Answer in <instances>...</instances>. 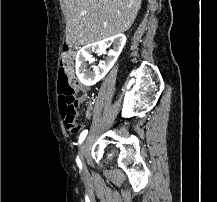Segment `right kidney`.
I'll use <instances>...</instances> for the list:
<instances>
[{
    "label": "right kidney",
    "instance_id": "1",
    "mask_svg": "<svg viewBox=\"0 0 217 202\" xmlns=\"http://www.w3.org/2000/svg\"><path fill=\"white\" fill-rule=\"evenodd\" d=\"M126 44V38L124 34H117V36H112V38H106V40H101V42H95V44H88V46H84L79 50L76 56V74L84 84V86H94L96 82L102 80L104 76H106L107 72L111 70L112 66H114L119 54H121L124 46ZM112 46V50L107 52V58L100 62L98 66L97 72H89L86 70L87 64L86 62H90L92 60V52H104L106 48H110Z\"/></svg>",
    "mask_w": 217,
    "mask_h": 202
}]
</instances>
